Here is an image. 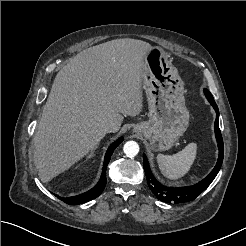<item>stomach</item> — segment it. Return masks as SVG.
<instances>
[{"label":"stomach","mask_w":246,"mask_h":246,"mask_svg":"<svg viewBox=\"0 0 246 246\" xmlns=\"http://www.w3.org/2000/svg\"><path fill=\"white\" fill-rule=\"evenodd\" d=\"M143 89L147 96L149 119L134 125L154 151H165L184 134L189 125L184 82L171 66L167 53L152 47L144 58Z\"/></svg>","instance_id":"stomach-1"}]
</instances>
